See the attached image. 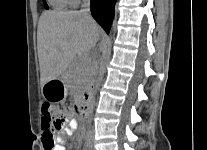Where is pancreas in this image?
<instances>
[{"label":"pancreas","mask_w":207,"mask_h":150,"mask_svg":"<svg viewBox=\"0 0 207 150\" xmlns=\"http://www.w3.org/2000/svg\"><path fill=\"white\" fill-rule=\"evenodd\" d=\"M84 59L86 58H81L73 62L69 67L68 81L73 85V88L83 87L90 78V61L84 63Z\"/></svg>","instance_id":"cf45deb5"}]
</instances>
